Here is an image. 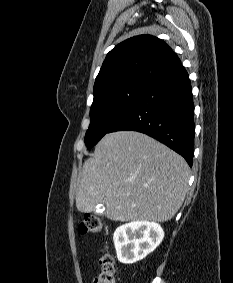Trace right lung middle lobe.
Listing matches in <instances>:
<instances>
[{
    "label": "right lung middle lobe",
    "mask_w": 233,
    "mask_h": 283,
    "mask_svg": "<svg viewBox=\"0 0 233 283\" xmlns=\"http://www.w3.org/2000/svg\"><path fill=\"white\" fill-rule=\"evenodd\" d=\"M150 82L133 80L94 95L85 144L90 150L127 112Z\"/></svg>",
    "instance_id": "right-lung-middle-lobe-1"
}]
</instances>
